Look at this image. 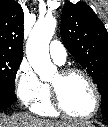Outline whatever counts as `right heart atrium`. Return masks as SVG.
Listing matches in <instances>:
<instances>
[{"mask_svg":"<svg viewBox=\"0 0 108 127\" xmlns=\"http://www.w3.org/2000/svg\"><path fill=\"white\" fill-rule=\"evenodd\" d=\"M15 93L24 105H33L43 94L44 84L26 61H23L14 77Z\"/></svg>","mask_w":108,"mask_h":127,"instance_id":"obj_1","label":"right heart atrium"}]
</instances>
